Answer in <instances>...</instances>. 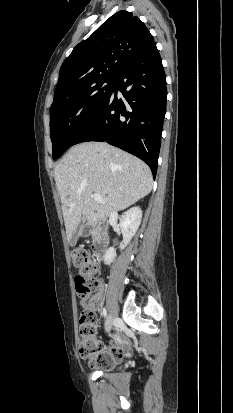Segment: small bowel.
Here are the masks:
<instances>
[{
  "label": "small bowel",
  "instance_id": "1",
  "mask_svg": "<svg viewBox=\"0 0 233 413\" xmlns=\"http://www.w3.org/2000/svg\"><path fill=\"white\" fill-rule=\"evenodd\" d=\"M105 295V286L103 283L98 282L96 289L94 290L93 295L83 297L80 301V304L85 309H100ZM127 341L120 335H112L110 339V345L104 346L100 344V355L101 356H116L121 354L123 356L124 351L127 348Z\"/></svg>",
  "mask_w": 233,
  "mask_h": 413
}]
</instances>
